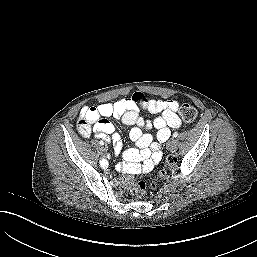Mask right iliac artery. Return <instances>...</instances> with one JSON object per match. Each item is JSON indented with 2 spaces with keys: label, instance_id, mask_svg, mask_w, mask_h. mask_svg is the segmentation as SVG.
Wrapping results in <instances>:
<instances>
[{
  "label": "right iliac artery",
  "instance_id": "1",
  "mask_svg": "<svg viewBox=\"0 0 257 257\" xmlns=\"http://www.w3.org/2000/svg\"><path fill=\"white\" fill-rule=\"evenodd\" d=\"M99 144L102 146V145H104V142H103V141H100ZM100 165H101L102 167H105V166L107 165V161H105L104 159H102V160L100 161Z\"/></svg>",
  "mask_w": 257,
  "mask_h": 257
}]
</instances>
